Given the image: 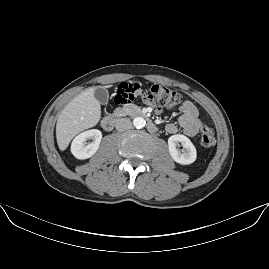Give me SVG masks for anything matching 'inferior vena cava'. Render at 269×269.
Masks as SVG:
<instances>
[{
	"mask_svg": "<svg viewBox=\"0 0 269 269\" xmlns=\"http://www.w3.org/2000/svg\"><path fill=\"white\" fill-rule=\"evenodd\" d=\"M132 127L131 121L128 118H118L115 122L117 131L129 130Z\"/></svg>",
	"mask_w": 269,
	"mask_h": 269,
	"instance_id": "obj_1",
	"label": "inferior vena cava"
}]
</instances>
